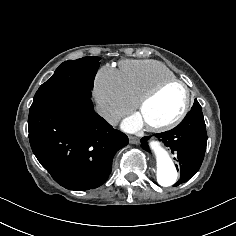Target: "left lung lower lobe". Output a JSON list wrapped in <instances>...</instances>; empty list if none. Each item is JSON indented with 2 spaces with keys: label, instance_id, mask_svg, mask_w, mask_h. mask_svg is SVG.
<instances>
[{
  "label": "left lung lower lobe",
  "instance_id": "obj_1",
  "mask_svg": "<svg viewBox=\"0 0 236 236\" xmlns=\"http://www.w3.org/2000/svg\"><path fill=\"white\" fill-rule=\"evenodd\" d=\"M155 136L171 149L176 156L174 160L179 162L176 168L180 170V180L174 186L188 181L199 170L206 151L207 133L201 106L189 111L174 129ZM147 140L148 137L142 138L141 146L150 152Z\"/></svg>",
  "mask_w": 236,
  "mask_h": 236
}]
</instances>
